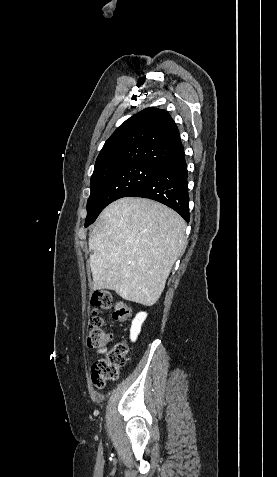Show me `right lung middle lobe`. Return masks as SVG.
Returning <instances> with one entry per match:
<instances>
[{
    "instance_id": "dd1d6c3e",
    "label": "right lung middle lobe",
    "mask_w": 277,
    "mask_h": 477,
    "mask_svg": "<svg viewBox=\"0 0 277 477\" xmlns=\"http://www.w3.org/2000/svg\"><path fill=\"white\" fill-rule=\"evenodd\" d=\"M156 169L157 166L153 165L130 163L94 173L90 181L85 227L93 223L108 204L128 196L142 185Z\"/></svg>"
}]
</instances>
